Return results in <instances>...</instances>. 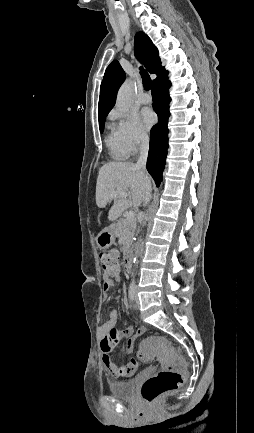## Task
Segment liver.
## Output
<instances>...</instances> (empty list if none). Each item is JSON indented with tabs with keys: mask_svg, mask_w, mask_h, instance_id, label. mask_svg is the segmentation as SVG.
<instances>
[{
	"mask_svg": "<svg viewBox=\"0 0 254 433\" xmlns=\"http://www.w3.org/2000/svg\"><path fill=\"white\" fill-rule=\"evenodd\" d=\"M150 179L146 173L131 162H109L98 174L96 204L104 208L112 199L113 192H125L129 198L117 196L109 210L108 219L114 221L129 207H138L144 199L145 185Z\"/></svg>",
	"mask_w": 254,
	"mask_h": 433,
	"instance_id": "obj_1",
	"label": "liver"
}]
</instances>
